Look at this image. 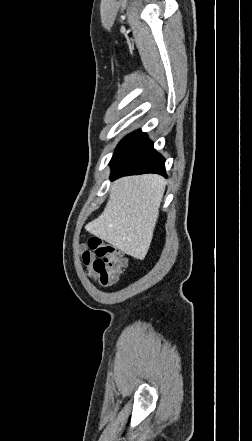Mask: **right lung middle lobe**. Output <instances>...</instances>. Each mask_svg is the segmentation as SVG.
<instances>
[{"label":"right lung middle lobe","instance_id":"obj_1","mask_svg":"<svg viewBox=\"0 0 252 441\" xmlns=\"http://www.w3.org/2000/svg\"><path fill=\"white\" fill-rule=\"evenodd\" d=\"M130 135H128L127 137H125L119 144H118V146H117V148H116V150H115V152H114V155H113V158H114V156L118 153V151L122 148V146L125 144V142L127 141V139H128V137H129ZM112 158V159H113Z\"/></svg>","mask_w":252,"mask_h":441}]
</instances>
